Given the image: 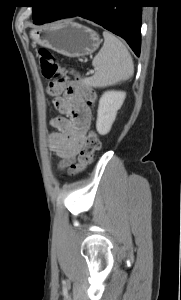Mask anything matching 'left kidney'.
<instances>
[{"label":"left kidney","instance_id":"obj_1","mask_svg":"<svg viewBox=\"0 0 181 300\" xmlns=\"http://www.w3.org/2000/svg\"><path fill=\"white\" fill-rule=\"evenodd\" d=\"M126 97L123 91H107L99 101L96 129L99 134L106 135L115 121L117 111L121 108Z\"/></svg>","mask_w":181,"mask_h":300}]
</instances>
